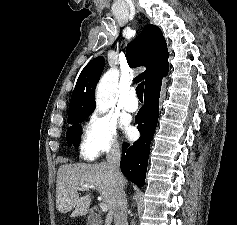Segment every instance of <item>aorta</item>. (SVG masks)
<instances>
[{"label": "aorta", "mask_w": 237, "mask_h": 225, "mask_svg": "<svg viewBox=\"0 0 237 225\" xmlns=\"http://www.w3.org/2000/svg\"><path fill=\"white\" fill-rule=\"evenodd\" d=\"M118 87V71L110 69L100 79L96 88V110L106 112L115 102Z\"/></svg>", "instance_id": "obj_1"}]
</instances>
